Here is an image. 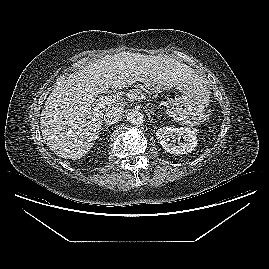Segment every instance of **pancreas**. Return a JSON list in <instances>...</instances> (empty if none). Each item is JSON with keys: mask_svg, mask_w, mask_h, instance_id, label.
I'll use <instances>...</instances> for the list:
<instances>
[{"mask_svg": "<svg viewBox=\"0 0 269 269\" xmlns=\"http://www.w3.org/2000/svg\"><path fill=\"white\" fill-rule=\"evenodd\" d=\"M129 94L133 95V96H139L141 94L140 89H131L129 90Z\"/></svg>", "mask_w": 269, "mask_h": 269, "instance_id": "obj_1", "label": "pancreas"}]
</instances>
